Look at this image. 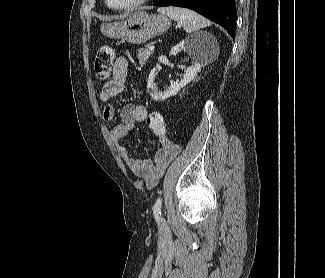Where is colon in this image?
<instances>
[{"label":"colon","instance_id":"5ec220e1","mask_svg":"<svg viewBox=\"0 0 325 278\" xmlns=\"http://www.w3.org/2000/svg\"><path fill=\"white\" fill-rule=\"evenodd\" d=\"M114 52L110 46H102L96 54L94 61L95 76L99 80H106L112 71ZM149 129L156 136H163L166 133V122L163 115L157 111L151 112L146 119Z\"/></svg>","mask_w":325,"mask_h":278}]
</instances>
